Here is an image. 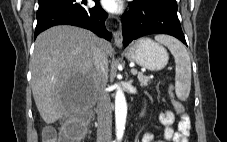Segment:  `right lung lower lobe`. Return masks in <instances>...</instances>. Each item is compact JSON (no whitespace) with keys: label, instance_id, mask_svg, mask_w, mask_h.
<instances>
[{"label":"right lung lower lobe","instance_id":"98d812e1","mask_svg":"<svg viewBox=\"0 0 227 142\" xmlns=\"http://www.w3.org/2000/svg\"><path fill=\"white\" fill-rule=\"evenodd\" d=\"M99 0L93 8H85L87 0H56L39 6L35 37L55 25H74L91 30L98 36L110 40L112 34L105 27L107 13L100 7Z\"/></svg>","mask_w":227,"mask_h":142}]
</instances>
